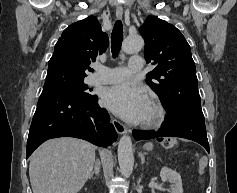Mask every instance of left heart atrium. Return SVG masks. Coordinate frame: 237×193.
<instances>
[{"label": "left heart atrium", "instance_id": "39dd6f15", "mask_svg": "<svg viewBox=\"0 0 237 193\" xmlns=\"http://www.w3.org/2000/svg\"><path fill=\"white\" fill-rule=\"evenodd\" d=\"M102 102L113 113L130 122L142 121L150 105L147 94L130 82L107 88L103 93Z\"/></svg>", "mask_w": 237, "mask_h": 193}]
</instances>
